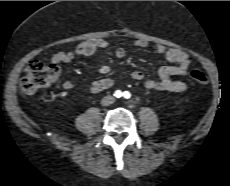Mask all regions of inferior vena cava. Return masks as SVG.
Returning <instances> with one entry per match:
<instances>
[{
	"mask_svg": "<svg viewBox=\"0 0 230 186\" xmlns=\"http://www.w3.org/2000/svg\"><path fill=\"white\" fill-rule=\"evenodd\" d=\"M114 101H115V98H114L113 96L107 95V96H105V97L102 98L101 104H102L103 106H108V105L113 104Z\"/></svg>",
	"mask_w": 230,
	"mask_h": 186,
	"instance_id": "1",
	"label": "inferior vena cava"
}]
</instances>
